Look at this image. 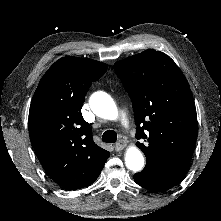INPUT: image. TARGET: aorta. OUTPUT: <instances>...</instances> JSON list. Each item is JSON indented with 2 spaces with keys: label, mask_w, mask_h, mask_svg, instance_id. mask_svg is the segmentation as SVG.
<instances>
[{
  "label": "aorta",
  "mask_w": 221,
  "mask_h": 221,
  "mask_svg": "<svg viewBox=\"0 0 221 221\" xmlns=\"http://www.w3.org/2000/svg\"><path fill=\"white\" fill-rule=\"evenodd\" d=\"M89 104L93 113L101 118L116 120L118 117V109L114 100L105 92L98 91L93 93ZM125 164L131 171L138 172L142 170L144 157L141 151L136 147H129L125 154Z\"/></svg>",
  "instance_id": "762f6f07"
}]
</instances>
